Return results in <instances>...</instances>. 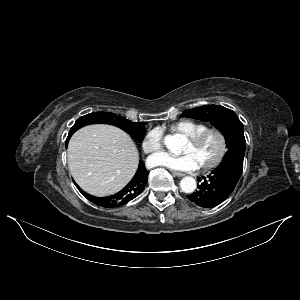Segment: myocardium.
<instances>
[{
    "label": "myocardium",
    "mask_w": 300,
    "mask_h": 300,
    "mask_svg": "<svg viewBox=\"0 0 300 300\" xmlns=\"http://www.w3.org/2000/svg\"><path fill=\"white\" fill-rule=\"evenodd\" d=\"M211 132H215L218 134V136L220 138V150H219L217 156L213 160L199 166V168L203 171L212 170V169L216 168L223 161V159L225 158L227 151H228L227 136H226L225 132L223 131V129H221L218 126H206L205 128H203L200 131H198L197 133H195L194 135L187 137V141L189 143L197 144L205 137V135H207L208 133H211Z\"/></svg>",
    "instance_id": "myocardium-1"
}]
</instances>
